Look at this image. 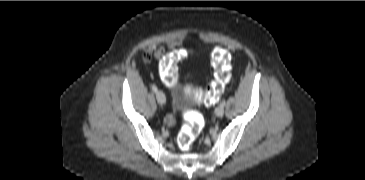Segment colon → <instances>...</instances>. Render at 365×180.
Instances as JSON below:
<instances>
[{
    "instance_id": "colon-1",
    "label": "colon",
    "mask_w": 365,
    "mask_h": 180,
    "mask_svg": "<svg viewBox=\"0 0 365 180\" xmlns=\"http://www.w3.org/2000/svg\"><path fill=\"white\" fill-rule=\"evenodd\" d=\"M189 54L187 49H175L165 57L160 66L162 81L168 86H175L177 83L176 64L185 59ZM148 57V54H146ZM211 62L214 69V79L206 90L191 85L186 88L192 92L197 99L206 105H213L219 95L223 92L225 85L230 78V57L226 50L215 47L211 52ZM185 124L178 135V145L181 150L188 151L199 136L203 127V117L195 112L187 113L184 116Z\"/></svg>"
}]
</instances>
